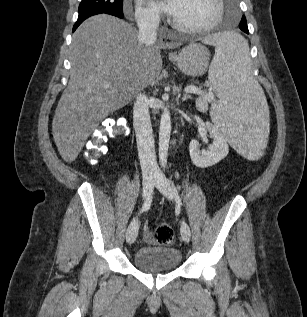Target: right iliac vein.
Returning <instances> with one entry per match:
<instances>
[{"mask_svg":"<svg viewBox=\"0 0 307 317\" xmlns=\"http://www.w3.org/2000/svg\"><path fill=\"white\" fill-rule=\"evenodd\" d=\"M155 182L154 176H146L143 178V197L147 198L153 189ZM139 224L138 220L134 219L129 224L127 231H126V240L129 244L133 243L136 240L138 234Z\"/></svg>","mask_w":307,"mask_h":317,"instance_id":"1","label":"right iliac vein"}]
</instances>
